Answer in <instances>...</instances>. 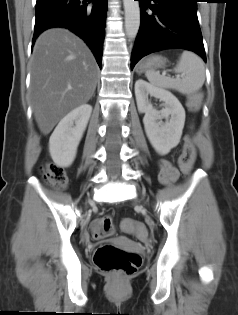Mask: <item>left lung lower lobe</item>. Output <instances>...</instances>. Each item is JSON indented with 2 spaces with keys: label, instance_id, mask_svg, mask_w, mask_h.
<instances>
[{
  "label": "left lung lower lobe",
  "instance_id": "1",
  "mask_svg": "<svg viewBox=\"0 0 238 315\" xmlns=\"http://www.w3.org/2000/svg\"><path fill=\"white\" fill-rule=\"evenodd\" d=\"M137 1L140 2L141 23L131 55V69L142 57L171 48L193 51L206 61L197 17L198 0ZM150 1L155 4L151 5Z\"/></svg>",
  "mask_w": 238,
  "mask_h": 315
}]
</instances>
